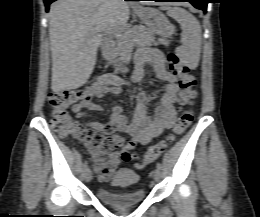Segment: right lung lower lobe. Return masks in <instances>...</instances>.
Listing matches in <instances>:
<instances>
[{
	"label": "right lung lower lobe",
	"instance_id": "right-lung-lower-lobe-1",
	"mask_svg": "<svg viewBox=\"0 0 260 217\" xmlns=\"http://www.w3.org/2000/svg\"><path fill=\"white\" fill-rule=\"evenodd\" d=\"M56 0H44L45 6H46V11L48 12L49 10V5L54 2ZM125 1H129V0H125Z\"/></svg>",
	"mask_w": 260,
	"mask_h": 217
}]
</instances>
